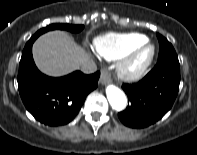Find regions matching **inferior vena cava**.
<instances>
[{"label":"inferior vena cava","mask_w":197,"mask_h":155,"mask_svg":"<svg viewBox=\"0 0 197 155\" xmlns=\"http://www.w3.org/2000/svg\"><path fill=\"white\" fill-rule=\"evenodd\" d=\"M81 71L85 74L95 73L97 71V65L93 61H87L81 65Z\"/></svg>","instance_id":"inferior-vena-cava-1"}]
</instances>
